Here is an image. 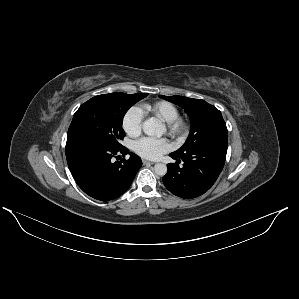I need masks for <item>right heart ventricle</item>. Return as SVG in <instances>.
<instances>
[{"mask_svg": "<svg viewBox=\"0 0 299 299\" xmlns=\"http://www.w3.org/2000/svg\"><path fill=\"white\" fill-rule=\"evenodd\" d=\"M143 110L164 123H169L179 117L176 106L166 101L144 104Z\"/></svg>", "mask_w": 299, "mask_h": 299, "instance_id": "obj_1", "label": "right heart ventricle"}]
</instances>
